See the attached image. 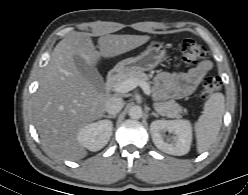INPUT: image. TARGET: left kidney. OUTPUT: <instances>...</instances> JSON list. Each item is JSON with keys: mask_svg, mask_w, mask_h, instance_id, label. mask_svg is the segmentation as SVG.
Instances as JSON below:
<instances>
[{"mask_svg": "<svg viewBox=\"0 0 248 195\" xmlns=\"http://www.w3.org/2000/svg\"><path fill=\"white\" fill-rule=\"evenodd\" d=\"M155 146L168 154L182 156L189 152L192 142V127L188 120H156L150 125ZM174 134L172 139L165 133Z\"/></svg>", "mask_w": 248, "mask_h": 195, "instance_id": "1", "label": "left kidney"}]
</instances>
